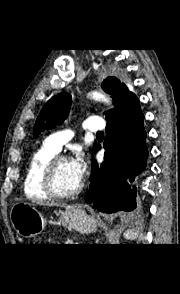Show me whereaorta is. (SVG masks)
<instances>
[{"mask_svg":"<svg viewBox=\"0 0 180 294\" xmlns=\"http://www.w3.org/2000/svg\"><path fill=\"white\" fill-rule=\"evenodd\" d=\"M88 97L96 100L103 102L105 104L111 105V100L110 98L103 92L100 91H92L91 93L88 94Z\"/></svg>","mask_w":180,"mask_h":294,"instance_id":"aorta-1","label":"aorta"}]
</instances>
